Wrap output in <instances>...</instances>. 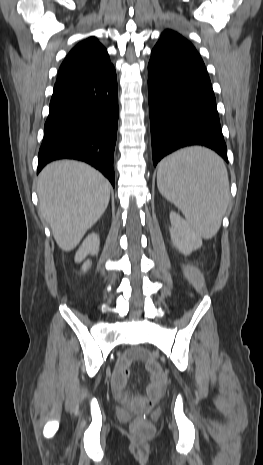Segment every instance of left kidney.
<instances>
[{"mask_svg":"<svg viewBox=\"0 0 263 465\" xmlns=\"http://www.w3.org/2000/svg\"><path fill=\"white\" fill-rule=\"evenodd\" d=\"M170 235L173 245L184 255L202 246L200 236L176 212L170 213Z\"/></svg>","mask_w":263,"mask_h":465,"instance_id":"1","label":"left kidney"}]
</instances>
